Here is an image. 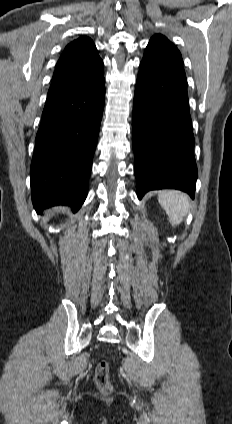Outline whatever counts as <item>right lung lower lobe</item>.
<instances>
[{
	"mask_svg": "<svg viewBox=\"0 0 232 424\" xmlns=\"http://www.w3.org/2000/svg\"><path fill=\"white\" fill-rule=\"evenodd\" d=\"M104 99V77L47 95L31 163V195L38 213L55 205L77 211L83 204Z\"/></svg>",
	"mask_w": 232,
	"mask_h": 424,
	"instance_id": "1",
	"label": "right lung lower lobe"
}]
</instances>
